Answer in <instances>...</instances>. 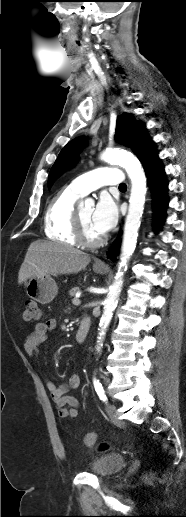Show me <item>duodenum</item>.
I'll use <instances>...</instances> for the list:
<instances>
[{
    "mask_svg": "<svg viewBox=\"0 0 186 517\" xmlns=\"http://www.w3.org/2000/svg\"><path fill=\"white\" fill-rule=\"evenodd\" d=\"M90 326H91V320L89 317H84L81 322H80V325L76 331V341L79 343V344H83L86 339H87V336H88V332L90 330Z\"/></svg>",
    "mask_w": 186,
    "mask_h": 517,
    "instance_id": "duodenum-1",
    "label": "duodenum"
}]
</instances>
